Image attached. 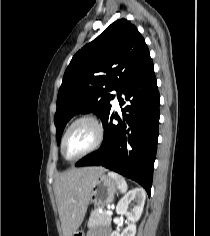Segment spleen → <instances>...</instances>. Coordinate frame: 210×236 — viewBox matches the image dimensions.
Returning a JSON list of instances; mask_svg holds the SVG:
<instances>
[{
    "instance_id": "obj_1",
    "label": "spleen",
    "mask_w": 210,
    "mask_h": 236,
    "mask_svg": "<svg viewBox=\"0 0 210 236\" xmlns=\"http://www.w3.org/2000/svg\"><path fill=\"white\" fill-rule=\"evenodd\" d=\"M108 174L117 181L120 192L125 193L128 189L125 179L115 172H110Z\"/></svg>"
}]
</instances>
